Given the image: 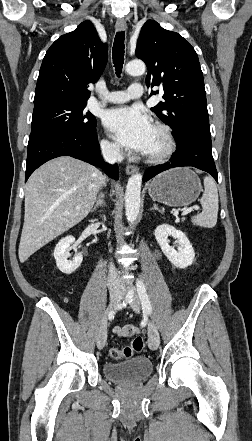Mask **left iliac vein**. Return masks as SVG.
<instances>
[{
    "label": "left iliac vein",
    "mask_w": 252,
    "mask_h": 441,
    "mask_svg": "<svg viewBox=\"0 0 252 441\" xmlns=\"http://www.w3.org/2000/svg\"><path fill=\"white\" fill-rule=\"evenodd\" d=\"M131 291L133 292V302L131 303L132 309L139 313L140 311V302L138 295L135 293V289L131 288ZM160 343V337L158 330L153 322L148 323V345L151 350H156L159 347Z\"/></svg>",
    "instance_id": "1"
}]
</instances>
